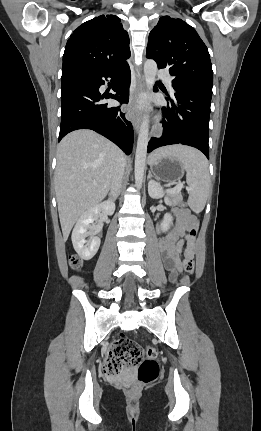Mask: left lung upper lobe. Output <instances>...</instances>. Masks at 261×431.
Listing matches in <instances>:
<instances>
[{
    "label": "left lung upper lobe",
    "instance_id": "left-lung-upper-lobe-1",
    "mask_svg": "<svg viewBox=\"0 0 261 431\" xmlns=\"http://www.w3.org/2000/svg\"><path fill=\"white\" fill-rule=\"evenodd\" d=\"M146 56L168 68L172 86L187 84L212 90L213 71L207 47L193 27L163 16L149 34Z\"/></svg>",
    "mask_w": 261,
    "mask_h": 431
}]
</instances>
